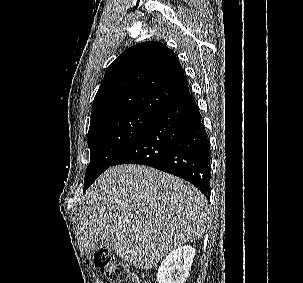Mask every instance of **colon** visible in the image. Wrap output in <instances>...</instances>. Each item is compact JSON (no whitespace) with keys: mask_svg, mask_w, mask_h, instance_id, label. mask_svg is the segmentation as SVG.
Wrapping results in <instances>:
<instances>
[{"mask_svg":"<svg viewBox=\"0 0 303 283\" xmlns=\"http://www.w3.org/2000/svg\"><path fill=\"white\" fill-rule=\"evenodd\" d=\"M94 263L110 283H149L142 274L108 250H97L94 255Z\"/></svg>","mask_w":303,"mask_h":283,"instance_id":"1","label":"colon"}]
</instances>
